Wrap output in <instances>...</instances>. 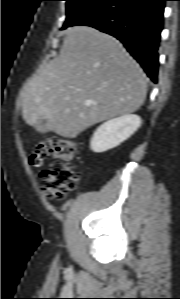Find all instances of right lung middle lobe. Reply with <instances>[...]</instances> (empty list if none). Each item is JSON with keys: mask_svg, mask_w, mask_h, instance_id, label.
Segmentation results:
<instances>
[{"mask_svg": "<svg viewBox=\"0 0 180 299\" xmlns=\"http://www.w3.org/2000/svg\"><path fill=\"white\" fill-rule=\"evenodd\" d=\"M66 1V21L62 29L70 26L81 15L93 8L103 0H65Z\"/></svg>", "mask_w": 180, "mask_h": 299, "instance_id": "dd1d6c3e", "label": "right lung middle lobe"}]
</instances>
